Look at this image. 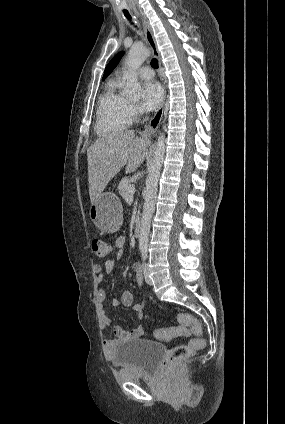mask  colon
<instances>
[{"label":"colon","mask_w":285,"mask_h":424,"mask_svg":"<svg viewBox=\"0 0 285 424\" xmlns=\"http://www.w3.org/2000/svg\"><path fill=\"white\" fill-rule=\"evenodd\" d=\"M92 249L94 254L100 259H104L112 253V246L101 239L93 240ZM178 320L182 325L189 327L196 337L185 344L176 346L171 351L170 362L185 359L191 356L195 351L202 349L205 345V341L199 336L201 334V325L195 317L189 314L180 313L178 314ZM186 331H188V329L184 327L161 328L155 330L153 336L158 340L168 341L179 336H184Z\"/></svg>","instance_id":"colon-1"}]
</instances>
